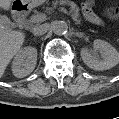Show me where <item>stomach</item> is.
<instances>
[{
	"label": "stomach",
	"mask_w": 119,
	"mask_h": 119,
	"mask_svg": "<svg viewBox=\"0 0 119 119\" xmlns=\"http://www.w3.org/2000/svg\"><path fill=\"white\" fill-rule=\"evenodd\" d=\"M22 3L27 4L28 6H35L43 3L46 0H21Z\"/></svg>",
	"instance_id": "1"
}]
</instances>
